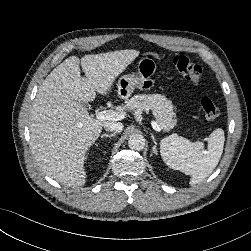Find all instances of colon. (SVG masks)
<instances>
[{"mask_svg": "<svg viewBox=\"0 0 251 251\" xmlns=\"http://www.w3.org/2000/svg\"><path fill=\"white\" fill-rule=\"evenodd\" d=\"M173 64L176 70L187 80L198 81L202 76V68L185 55L174 57ZM201 107L206 120L213 121L220 115L219 108L208 97L201 99Z\"/></svg>", "mask_w": 251, "mask_h": 251, "instance_id": "obj_1", "label": "colon"}]
</instances>
